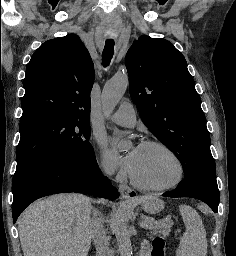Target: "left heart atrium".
<instances>
[{
  "label": "left heart atrium",
  "mask_w": 236,
  "mask_h": 256,
  "mask_svg": "<svg viewBox=\"0 0 236 256\" xmlns=\"http://www.w3.org/2000/svg\"><path fill=\"white\" fill-rule=\"evenodd\" d=\"M119 140L116 139L113 141V146H112V150H111V154L120 162L122 163L125 167H127L128 169L131 168L132 164H133V160H134V153L136 151V149H134L131 153H129L128 155H121L119 153Z\"/></svg>",
  "instance_id": "39dd6f15"
}]
</instances>
